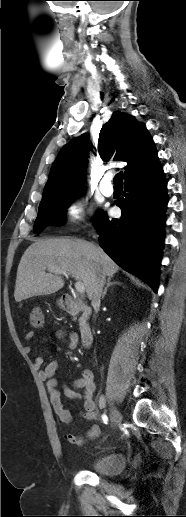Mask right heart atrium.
I'll return each mask as SVG.
<instances>
[{
  "label": "right heart atrium",
  "mask_w": 186,
  "mask_h": 517,
  "mask_svg": "<svg viewBox=\"0 0 186 517\" xmlns=\"http://www.w3.org/2000/svg\"><path fill=\"white\" fill-rule=\"evenodd\" d=\"M87 214V204L82 199L72 200L65 208V217L71 224H78L82 222Z\"/></svg>",
  "instance_id": "right-heart-atrium-1"
}]
</instances>
